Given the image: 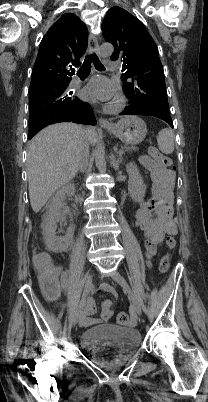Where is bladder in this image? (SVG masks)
Segmentation results:
<instances>
[{
    "instance_id": "obj_1",
    "label": "bladder",
    "mask_w": 208,
    "mask_h": 402,
    "mask_svg": "<svg viewBox=\"0 0 208 402\" xmlns=\"http://www.w3.org/2000/svg\"><path fill=\"white\" fill-rule=\"evenodd\" d=\"M139 332L124 326L96 324L84 330L81 347L89 349L94 363L116 366L140 346Z\"/></svg>"
}]
</instances>
